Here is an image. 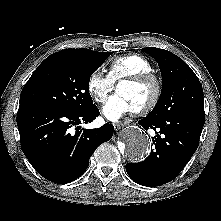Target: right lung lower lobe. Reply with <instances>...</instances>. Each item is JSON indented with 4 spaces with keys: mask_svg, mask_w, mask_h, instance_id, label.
I'll return each instance as SVG.
<instances>
[{
    "mask_svg": "<svg viewBox=\"0 0 221 221\" xmlns=\"http://www.w3.org/2000/svg\"><path fill=\"white\" fill-rule=\"evenodd\" d=\"M100 114L96 105L72 112L61 108L20 104L17 125L22 150L35 170L54 183H69L79 178L89 165L96 148L111 139L113 125L80 130ZM73 132L71 127H76Z\"/></svg>",
    "mask_w": 221,
    "mask_h": 221,
    "instance_id": "right-lung-lower-lobe-1",
    "label": "right lung lower lobe"
}]
</instances>
